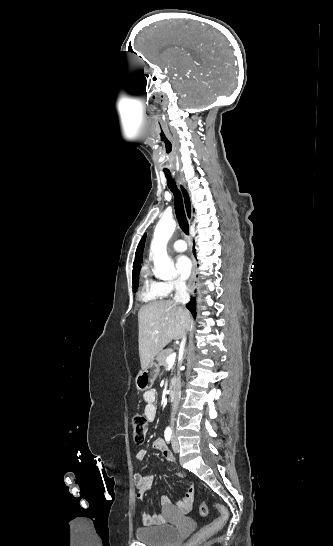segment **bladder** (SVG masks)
Instances as JSON below:
<instances>
[{
  "instance_id": "obj_1",
  "label": "bladder",
  "mask_w": 333,
  "mask_h": 546,
  "mask_svg": "<svg viewBox=\"0 0 333 546\" xmlns=\"http://www.w3.org/2000/svg\"><path fill=\"white\" fill-rule=\"evenodd\" d=\"M135 537L148 546H172L179 538V531L167 524L141 527L135 531Z\"/></svg>"
}]
</instances>
